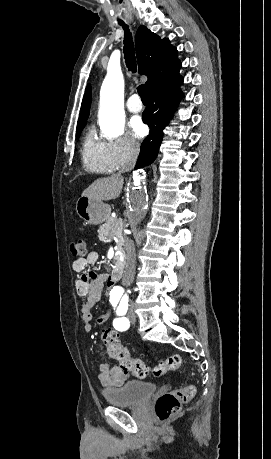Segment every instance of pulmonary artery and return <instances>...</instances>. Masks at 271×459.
<instances>
[{
  "label": "pulmonary artery",
  "instance_id": "pulmonary-artery-1",
  "mask_svg": "<svg viewBox=\"0 0 271 459\" xmlns=\"http://www.w3.org/2000/svg\"><path fill=\"white\" fill-rule=\"evenodd\" d=\"M126 106L131 113H140L143 109V104L138 94L131 96L127 101Z\"/></svg>",
  "mask_w": 271,
  "mask_h": 459
}]
</instances>
